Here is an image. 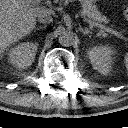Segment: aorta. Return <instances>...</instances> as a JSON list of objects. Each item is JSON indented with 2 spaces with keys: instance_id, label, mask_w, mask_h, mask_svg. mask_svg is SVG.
<instances>
[{
  "instance_id": "aorta-1",
  "label": "aorta",
  "mask_w": 128,
  "mask_h": 128,
  "mask_svg": "<svg viewBox=\"0 0 128 128\" xmlns=\"http://www.w3.org/2000/svg\"><path fill=\"white\" fill-rule=\"evenodd\" d=\"M73 38H74V36H73L72 32H70L66 29H63L61 31V34H60V37H59V42L62 45L68 46L73 41Z\"/></svg>"
}]
</instances>
